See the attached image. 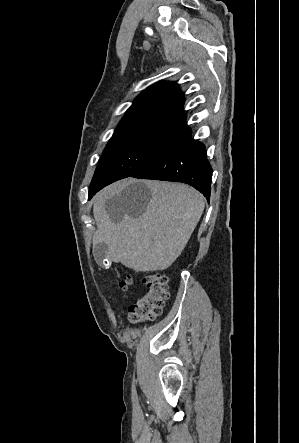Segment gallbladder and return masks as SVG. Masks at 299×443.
Instances as JSON below:
<instances>
[{
  "label": "gallbladder",
  "instance_id": "bac80fb5",
  "mask_svg": "<svg viewBox=\"0 0 299 443\" xmlns=\"http://www.w3.org/2000/svg\"><path fill=\"white\" fill-rule=\"evenodd\" d=\"M107 251H108V246L105 243H97L93 247L94 258L96 262L101 266H103L104 264V259L106 257Z\"/></svg>",
  "mask_w": 299,
  "mask_h": 443
}]
</instances>
